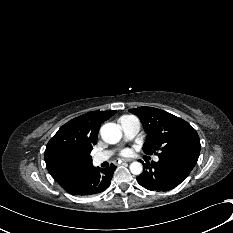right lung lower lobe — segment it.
<instances>
[{
    "instance_id": "obj_1",
    "label": "right lung lower lobe",
    "mask_w": 233,
    "mask_h": 233,
    "mask_svg": "<svg viewBox=\"0 0 233 233\" xmlns=\"http://www.w3.org/2000/svg\"><path fill=\"white\" fill-rule=\"evenodd\" d=\"M115 169L116 167L113 164L106 169H99L92 166L83 172L74 185L66 191L72 195L81 196L101 193L110 186Z\"/></svg>"
}]
</instances>
